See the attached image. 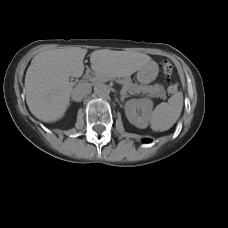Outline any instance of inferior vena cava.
Masks as SVG:
<instances>
[{"mask_svg":"<svg viewBox=\"0 0 228 228\" xmlns=\"http://www.w3.org/2000/svg\"><path fill=\"white\" fill-rule=\"evenodd\" d=\"M91 91V87L85 83L77 85L71 91V97L75 102H81L82 99Z\"/></svg>","mask_w":228,"mask_h":228,"instance_id":"inferior-vena-cava-1","label":"inferior vena cava"}]
</instances>
